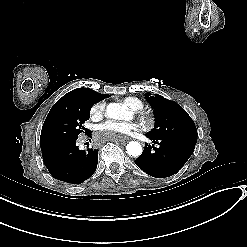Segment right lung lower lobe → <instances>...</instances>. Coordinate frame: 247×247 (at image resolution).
Returning <instances> with one entry per match:
<instances>
[{
	"instance_id": "right-lung-lower-lobe-1",
	"label": "right lung lower lobe",
	"mask_w": 247,
	"mask_h": 247,
	"mask_svg": "<svg viewBox=\"0 0 247 247\" xmlns=\"http://www.w3.org/2000/svg\"><path fill=\"white\" fill-rule=\"evenodd\" d=\"M41 151L49 173L60 181L80 184L96 171L98 150H79L76 140L44 146Z\"/></svg>"
}]
</instances>
